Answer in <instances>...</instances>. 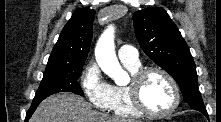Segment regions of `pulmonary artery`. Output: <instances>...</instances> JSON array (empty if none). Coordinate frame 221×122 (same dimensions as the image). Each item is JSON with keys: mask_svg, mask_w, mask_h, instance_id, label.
Here are the masks:
<instances>
[{"mask_svg": "<svg viewBox=\"0 0 221 122\" xmlns=\"http://www.w3.org/2000/svg\"><path fill=\"white\" fill-rule=\"evenodd\" d=\"M119 59L123 63H128L131 65H138L139 64V55L136 48L131 45H123L120 47L118 51Z\"/></svg>", "mask_w": 221, "mask_h": 122, "instance_id": "1", "label": "pulmonary artery"}]
</instances>
